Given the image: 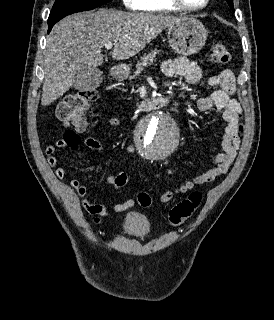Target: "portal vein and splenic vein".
Instances as JSON below:
<instances>
[{"mask_svg": "<svg viewBox=\"0 0 274 320\" xmlns=\"http://www.w3.org/2000/svg\"><path fill=\"white\" fill-rule=\"evenodd\" d=\"M112 46H113V44H106L105 48H106V50H111Z\"/></svg>", "mask_w": 274, "mask_h": 320, "instance_id": "18ae733b", "label": "portal vein and splenic vein"}]
</instances>
